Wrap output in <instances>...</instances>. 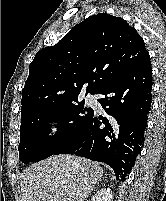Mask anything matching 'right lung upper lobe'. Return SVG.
Segmentation results:
<instances>
[{
    "instance_id": "obj_1",
    "label": "right lung upper lobe",
    "mask_w": 166,
    "mask_h": 201,
    "mask_svg": "<svg viewBox=\"0 0 166 201\" xmlns=\"http://www.w3.org/2000/svg\"><path fill=\"white\" fill-rule=\"evenodd\" d=\"M146 53L143 39L124 19L90 16L36 53L22 90L21 115L77 100L84 85L86 94H96Z\"/></svg>"
}]
</instances>
